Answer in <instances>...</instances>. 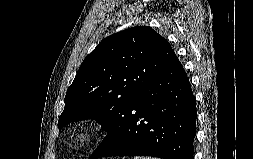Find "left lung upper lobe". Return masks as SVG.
I'll return each instance as SVG.
<instances>
[{"mask_svg": "<svg viewBox=\"0 0 253 159\" xmlns=\"http://www.w3.org/2000/svg\"><path fill=\"white\" fill-rule=\"evenodd\" d=\"M175 56L166 39L147 26L103 39L84 59L67 90L59 130L70 122L96 119L110 136L126 107Z\"/></svg>", "mask_w": 253, "mask_h": 159, "instance_id": "left-lung-upper-lobe-1", "label": "left lung upper lobe"}]
</instances>
